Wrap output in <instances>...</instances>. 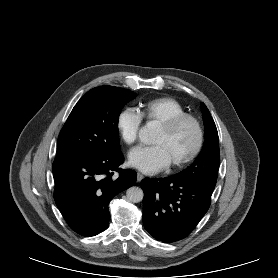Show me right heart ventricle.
<instances>
[{
    "mask_svg": "<svg viewBox=\"0 0 278 278\" xmlns=\"http://www.w3.org/2000/svg\"><path fill=\"white\" fill-rule=\"evenodd\" d=\"M138 112L147 122L162 124L176 116L186 114L183 105L171 97H158L139 105Z\"/></svg>",
    "mask_w": 278,
    "mask_h": 278,
    "instance_id": "right-heart-ventricle-1",
    "label": "right heart ventricle"
}]
</instances>
